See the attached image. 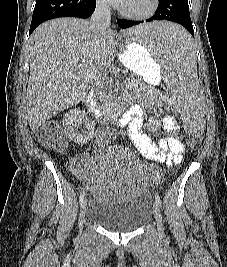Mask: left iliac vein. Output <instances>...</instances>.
I'll list each match as a JSON object with an SVG mask.
<instances>
[{"label": "left iliac vein", "mask_w": 227, "mask_h": 267, "mask_svg": "<svg viewBox=\"0 0 227 267\" xmlns=\"http://www.w3.org/2000/svg\"><path fill=\"white\" fill-rule=\"evenodd\" d=\"M153 213H154L155 220L157 222L158 231L160 234H163L162 215H161L160 207L157 204H155L153 207Z\"/></svg>", "instance_id": "left-iliac-vein-1"}]
</instances>
